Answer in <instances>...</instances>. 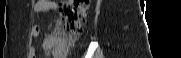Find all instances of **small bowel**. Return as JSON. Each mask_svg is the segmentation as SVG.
Segmentation results:
<instances>
[{
    "label": "small bowel",
    "instance_id": "1",
    "mask_svg": "<svg viewBox=\"0 0 181 58\" xmlns=\"http://www.w3.org/2000/svg\"><path fill=\"white\" fill-rule=\"evenodd\" d=\"M57 8V3L53 0H38L35 3L34 6V12L37 17H39L41 14L55 10ZM40 33L39 27L35 26L33 29V36L37 37ZM48 39L47 38L43 43V48L48 49Z\"/></svg>",
    "mask_w": 181,
    "mask_h": 58
}]
</instances>
